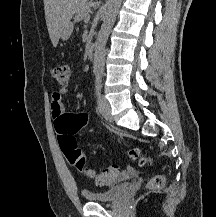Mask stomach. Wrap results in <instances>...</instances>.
<instances>
[{"mask_svg":"<svg viewBox=\"0 0 216 217\" xmlns=\"http://www.w3.org/2000/svg\"><path fill=\"white\" fill-rule=\"evenodd\" d=\"M72 31H73V24L70 22L66 28L63 30V32L61 33V38L63 40H67L71 34H72Z\"/></svg>","mask_w":216,"mask_h":217,"instance_id":"stomach-1","label":"stomach"}]
</instances>
